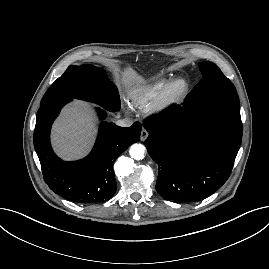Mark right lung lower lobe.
Returning <instances> with one entry per match:
<instances>
[{"label":"right lung lower lobe","mask_w":269,"mask_h":269,"mask_svg":"<svg viewBox=\"0 0 269 269\" xmlns=\"http://www.w3.org/2000/svg\"><path fill=\"white\" fill-rule=\"evenodd\" d=\"M72 98H61L41 105L36 116L34 147L49 188L76 203L109 200L116 192L113 163L128 145L140 139L141 124L122 128L102 121L95 146L84 159L66 162L55 155L50 145V129L61 108ZM101 120L105 111L99 109Z\"/></svg>","instance_id":"obj_1"}]
</instances>
